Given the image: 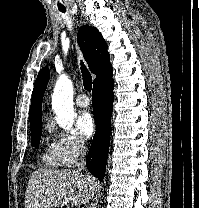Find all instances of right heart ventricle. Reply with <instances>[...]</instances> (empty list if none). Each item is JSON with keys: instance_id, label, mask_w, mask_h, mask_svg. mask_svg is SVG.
I'll use <instances>...</instances> for the list:
<instances>
[{"instance_id": "right-heart-ventricle-1", "label": "right heart ventricle", "mask_w": 199, "mask_h": 208, "mask_svg": "<svg viewBox=\"0 0 199 208\" xmlns=\"http://www.w3.org/2000/svg\"><path fill=\"white\" fill-rule=\"evenodd\" d=\"M42 160L47 166H50L53 168H57L62 165L61 159L55 149L54 142L48 143L47 149L42 154Z\"/></svg>"}]
</instances>
